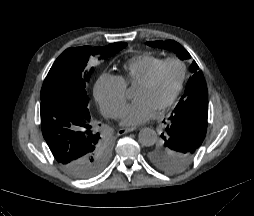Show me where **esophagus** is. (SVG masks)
Masks as SVG:
<instances>
[{"label": "esophagus", "instance_id": "1", "mask_svg": "<svg viewBox=\"0 0 254 216\" xmlns=\"http://www.w3.org/2000/svg\"><path fill=\"white\" fill-rule=\"evenodd\" d=\"M134 130H136V129H135V128H120V129L117 131V134H118L119 136H121V135H124V134H126V133L132 132V131H134Z\"/></svg>", "mask_w": 254, "mask_h": 216}]
</instances>
